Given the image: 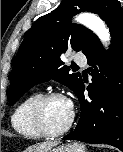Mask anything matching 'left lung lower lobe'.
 Instances as JSON below:
<instances>
[{
  "label": "left lung lower lobe",
  "instance_id": "obj_1",
  "mask_svg": "<svg viewBox=\"0 0 123 152\" xmlns=\"http://www.w3.org/2000/svg\"><path fill=\"white\" fill-rule=\"evenodd\" d=\"M112 40L107 53L97 39L85 54L92 83L84 96L81 82L76 95L80 101L81 117L76 128L64 140L92 144L105 143L123 152V8L117 7L107 19Z\"/></svg>",
  "mask_w": 123,
  "mask_h": 152
}]
</instances>
